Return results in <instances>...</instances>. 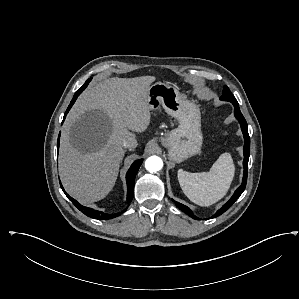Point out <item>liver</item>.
Returning <instances> with one entry per match:
<instances>
[{
	"label": "liver",
	"mask_w": 299,
	"mask_h": 299,
	"mask_svg": "<svg viewBox=\"0 0 299 299\" xmlns=\"http://www.w3.org/2000/svg\"><path fill=\"white\" fill-rule=\"evenodd\" d=\"M154 76L108 78L90 85L71 109L60 141L59 172L65 190L82 204L106 197L124 155L122 141L151 120ZM85 120L80 131L73 129ZM134 135V134H133Z\"/></svg>",
	"instance_id": "liver-1"
}]
</instances>
